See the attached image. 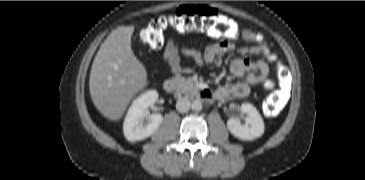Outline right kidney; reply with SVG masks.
<instances>
[{"mask_svg":"<svg viewBox=\"0 0 365 180\" xmlns=\"http://www.w3.org/2000/svg\"><path fill=\"white\" fill-rule=\"evenodd\" d=\"M158 93L150 90L134 100L124 121L123 131L128 141H140L157 131L163 121L161 114H149V107L158 100ZM147 119V123H143Z\"/></svg>","mask_w":365,"mask_h":180,"instance_id":"ca27d5eb","label":"right kidney"}]
</instances>
